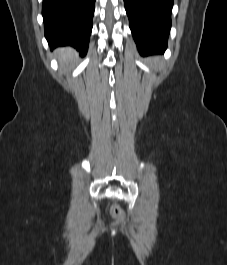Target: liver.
Here are the masks:
<instances>
[{
	"label": "liver",
	"mask_w": 227,
	"mask_h": 265,
	"mask_svg": "<svg viewBox=\"0 0 227 265\" xmlns=\"http://www.w3.org/2000/svg\"><path fill=\"white\" fill-rule=\"evenodd\" d=\"M56 55L61 64H68L75 59L76 52L70 47H65L57 49Z\"/></svg>",
	"instance_id": "1"
}]
</instances>
